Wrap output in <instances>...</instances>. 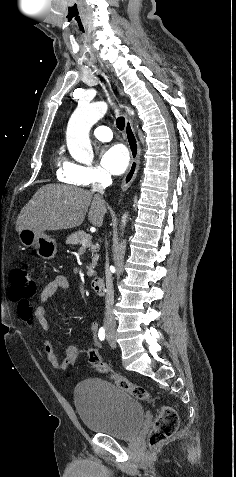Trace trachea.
I'll use <instances>...</instances> for the list:
<instances>
[{"label": "trachea", "mask_w": 236, "mask_h": 477, "mask_svg": "<svg viewBox=\"0 0 236 477\" xmlns=\"http://www.w3.org/2000/svg\"><path fill=\"white\" fill-rule=\"evenodd\" d=\"M100 77V76H99ZM101 80H103V78L101 77ZM116 125L118 127L119 130H123L124 129V126H125V118L120 116L116 119Z\"/></svg>", "instance_id": "trachea-1"}]
</instances>
